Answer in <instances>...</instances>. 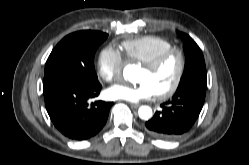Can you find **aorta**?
<instances>
[{"instance_id":"obj_1","label":"aorta","mask_w":249,"mask_h":165,"mask_svg":"<svg viewBox=\"0 0 249 165\" xmlns=\"http://www.w3.org/2000/svg\"><path fill=\"white\" fill-rule=\"evenodd\" d=\"M133 71V66H126L123 71L124 78L130 79L133 74ZM138 114L141 119L148 120L152 117V109L149 106H141L138 110Z\"/></svg>"}]
</instances>
